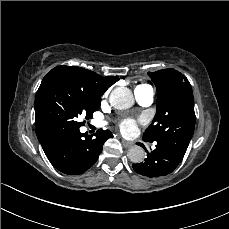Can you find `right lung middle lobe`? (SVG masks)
Returning a JSON list of instances; mask_svg holds the SVG:
<instances>
[{
    "label": "right lung middle lobe",
    "mask_w": 229,
    "mask_h": 229,
    "mask_svg": "<svg viewBox=\"0 0 229 229\" xmlns=\"http://www.w3.org/2000/svg\"><path fill=\"white\" fill-rule=\"evenodd\" d=\"M101 98L89 95L76 81L62 75L44 77L35 98V128L41 145H50L62 135L78 130L92 118Z\"/></svg>",
    "instance_id": "1"
}]
</instances>
